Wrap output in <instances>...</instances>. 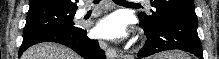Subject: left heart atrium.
<instances>
[{"label":"left heart atrium","instance_id":"1","mask_svg":"<svg viewBox=\"0 0 219 59\" xmlns=\"http://www.w3.org/2000/svg\"><path fill=\"white\" fill-rule=\"evenodd\" d=\"M125 23L117 15H109L100 20L95 27V34L100 38H116L124 33Z\"/></svg>","mask_w":219,"mask_h":59}]
</instances>
